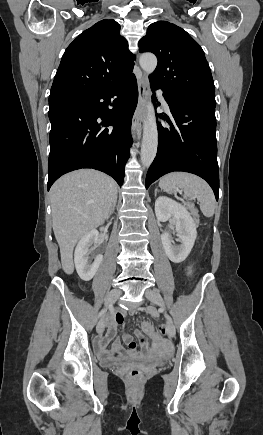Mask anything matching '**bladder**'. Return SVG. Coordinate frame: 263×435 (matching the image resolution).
<instances>
[{"label":"bladder","instance_id":"1","mask_svg":"<svg viewBox=\"0 0 263 435\" xmlns=\"http://www.w3.org/2000/svg\"><path fill=\"white\" fill-rule=\"evenodd\" d=\"M107 363L109 365H116V364L120 363V361H117V360H108Z\"/></svg>","mask_w":263,"mask_h":435}]
</instances>
